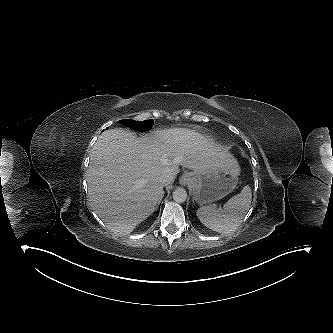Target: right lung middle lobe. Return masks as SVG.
<instances>
[{"instance_id":"obj_1","label":"right lung middle lobe","mask_w":333,"mask_h":333,"mask_svg":"<svg viewBox=\"0 0 333 333\" xmlns=\"http://www.w3.org/2000/svg\"><path fill=\"white\" fill-rule=\"evenodd\" d=\"M122 124H125L126 126H129L131 128L141 130V131H148L152 128V125L154 124V121L152 119L145 120V121H133L129 119L121 120L119 121Z\"/></svg>"}]
</instances>
